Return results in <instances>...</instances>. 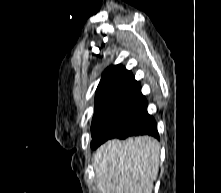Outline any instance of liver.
Listing matches in <instances>:
<instances>
[{"label":"liver","mask_w":221,"mask_h":193,"mask_svg":"<svg viewBox=\"0 0 221 193\" xmlns=\"http://www.w3.org/2000/svg\"><path fill=\"white\" fill-rule=\"evenodd\" d=\"M159 154L158 141L149 136L107 141L93 157L99 193H152Z\"/></svg>","instance_id":"6515ba94"}]
</instances>
